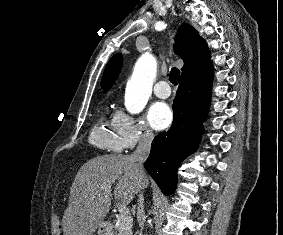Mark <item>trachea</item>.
I'll return each instance as SVG.
<instances>
[{"label": "trachea", "mask_w": 283, "mask_h": 235, "mask_svg": "<svg viewBox=\"0 0 283 235\" xmlns=\"http://www.w3.org/2000/svg\"><path fill=\"white\" fill-rule=\"evenodd\" d=\"M180 77V71L177 68H172L169 74V80L173 85H177Z\"/></svg>", "instance_id": "3493384b"}]
</instances>
